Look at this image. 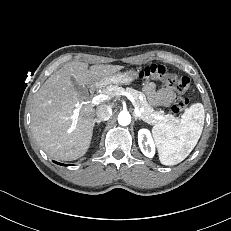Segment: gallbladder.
I'll return each instance as SVG.
<instances>
[{"label":"gallbladder","instance_id":"1","mask_svg":"<svg viewBox=\"0 0 231 231\" xmlns=\"http://www.w3.org/2000/svg\"><path fill=\"white\" fill-rule=\"evenodd\" d=\"M72 85L74 89L79 93V94H85L86 93V88L80 85L76 80L71 77Z\"/></svg>","mask_w":231,"mask_h":231}]
</instances>
